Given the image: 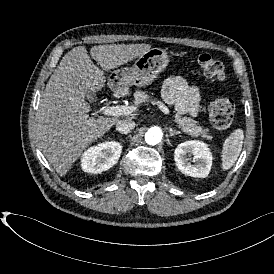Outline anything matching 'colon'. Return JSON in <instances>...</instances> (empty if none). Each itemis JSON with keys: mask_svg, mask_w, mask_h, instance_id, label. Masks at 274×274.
<instances>
[{"mask_svg": "<svg viewBox=\"0 0 274 274\" xmlns=\"http://www.w3.org/2000/svg\"><path fill=\"white\" fill-rule=\"evenodd\" d=\"M197 64L202 72L211 80L222 82L226 79V71L218 59L207 53L197 57ZM235 116V106L231 99L218 95L209 106V117L216 129L224 130L229 128Z\"/></svg>", "mask_w": 274, "mask_h": 274, "instance_id": "5ec220e1", "label": "colon"}]
</instances>
